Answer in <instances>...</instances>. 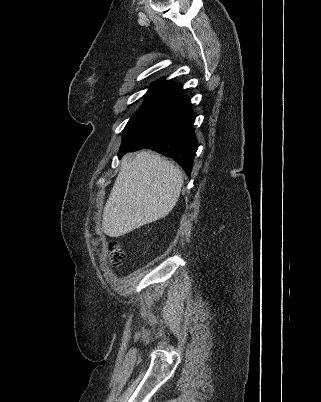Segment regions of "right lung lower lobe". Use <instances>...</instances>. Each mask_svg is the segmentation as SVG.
I'll list each match as a JSON object with an SVG mask.
<instances>
[{
	"mask_svg": "<svg viewBox=\"0 0 321 402\" xmlns=\"http://www.w3.org/2000/svg\"><path fill=\"white\" fill-rule=\"evenodd\" d=\"M194 120L190 98L179 85L157 107L124 131L118 157L149 148L175 160L190 176L198 148Z\"/></svg>",
	"mask_w": 321,
	"mask_h": 402,
	"instance_id": "1",
	"label": "right lung lower lobe"
}]
</instances>
